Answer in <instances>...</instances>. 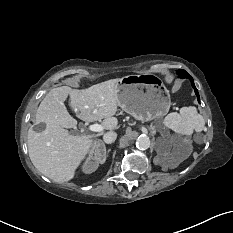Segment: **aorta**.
Segmentation results:
<instances>
[{"label": "aorta", "mask_w": 233, "mask_h": 233, "mask_svg": "<svg viewBox=\"0 0 233 233\" xmlns=\"http://www.w3.org/2000/svg\"><path fill=\"white\" fill-rule=\"evenodd\" d=\"M136 147L141 150H146L150 147V139L146 136H139L136 140Z\"/></svg>", "instance_id": "aorta-1"}]
</instances>
